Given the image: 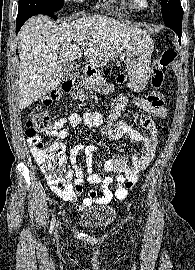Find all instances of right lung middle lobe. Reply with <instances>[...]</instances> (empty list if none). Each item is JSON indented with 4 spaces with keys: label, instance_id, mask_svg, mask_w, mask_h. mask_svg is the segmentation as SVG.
<instances>
[{
    "label": "right lung middle lobe",
    "instance_id": "dd1d6c3e",
    "mask_svg": "<svg viewBox=\"0 0 195 270\" xmlns=\"http://www.w3.org/2000/svg\"><path fill=\"white\" fill-rule=\"evenodd\" d=\"M63 7V0H19V10H32L57 19L54 12Z\"/></svg>",
    "mask_w": 195,
    "mask_h": 270
}]
</instances>
